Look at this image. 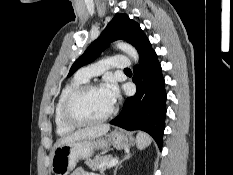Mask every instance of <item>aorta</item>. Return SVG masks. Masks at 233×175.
Instances as JSON below:
<instances>
[{
	"label": "aorta",
	"mask_w": 233,
	"mask_h": 175,
	"mask_svg": "<svg viewBox=\"0 0 233 175\" xmlns=\"http://www.w3.org/2000/svg\"><path fill=\"white\" fill-rule=\"evenodd\" d=\"M115 46L121 51H123L124 53H126L128 56H130L134 60L135 63L138 62L139 55L133 46L125 42H117Z\"/></svg>",
	"instance_id": "obj_1"
}]
</instances>
